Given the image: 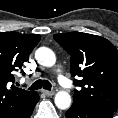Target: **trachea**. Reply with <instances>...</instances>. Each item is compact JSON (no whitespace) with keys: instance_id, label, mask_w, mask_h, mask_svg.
I'll list each match as a JSON object with an SVG mask.
<instances>
[{"instance_id":"trachea-1","label":"trachea","mask_w":118,"mask_h":118,"mask_svg":"<svg viewBox=\"0 0 118 118\" xmlns=\"http://www.w3.org/2000/svg\"><path fill=\"white\" fill-rule=\"evenodd\" d=\"M44 88L46 90H51V83L48 80H37L35 81L31 87L29 88L30 90H37Z\"/></svg>"}]
</instances>
